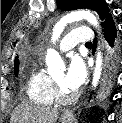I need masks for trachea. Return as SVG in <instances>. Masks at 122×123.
Segmentation results:
<instances>
[{
	"instance_id": "1",
	"label": "trachea",
	"mask_w": 122,
	"mask_h": 123,
	"mask_svg": "<svg viewBox=\"0 0 122 123\" xmlns=\"http://www.w3.org/2000/svg\"><path fill=\"white\" fill-rule=\"evenodd\" d=\"M85 45L86 46H91V42H87Z\"/></svg>"
}]
</instances>
